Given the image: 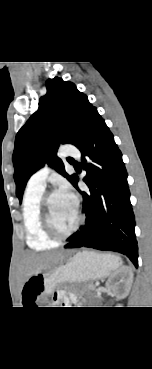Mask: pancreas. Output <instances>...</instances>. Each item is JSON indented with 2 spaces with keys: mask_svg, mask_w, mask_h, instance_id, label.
Listing matches in <instances>:
<instances>
[{
  "mask_svg": "<svg viewBox=\"0 0 152 369\" xmlns=\"http://www.w3.org/2000/svg\"><path fill=\"white\" fill-rule=\"evenodd\" d=\"M93 283H86L84 286H83V291L86 292V291H91V290H94L93 289Z\"/></svg>",
  "mask_w": 152,
  "mask_h": 369,
  "instance_id": "cf45deb5",
  "label": "pancreas"
}]
</instances>
